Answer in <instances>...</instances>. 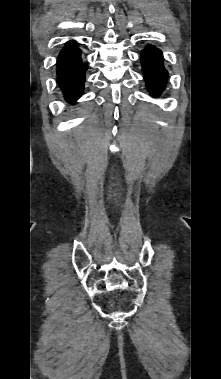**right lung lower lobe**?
<instances>
[{
	"instance_id": "obj_1",
	"label": "right lung lower lobe",
	"mask_w": 221,
	"mask_h": 379,
	"mask_svg": "<svg viewBox=\"0 0 221 379\" xmlns=\"http://www.w3.org/2000/svg\"><path fill=\"white\" fill-rule=\"evenodd\" d=\"M87 64L82 62L81 51L76 42H67L57 61L58 84L68 102L81 96Z\"/></svg>"
}]
</instances>
